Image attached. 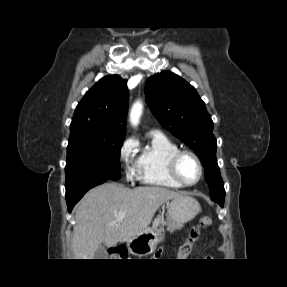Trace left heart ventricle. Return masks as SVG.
<instances>
[{
	"instance_id": "b2bd125f",
	"label": "left heart ventricle",
	"mask_w": 287,
	"mask_h": 287,
	"mask_svg": "<svg viewBox=\"0 0 287 287\" xmlns=\"http://www.w3.org/2000/svg\"><path fill=\"white\" fill-rule=\"evenodd\" d=\"M181 179L186 183H193L199 177V168L195 160L189 156H184L178 165Z\"/></svg>"
}]
</instances>
